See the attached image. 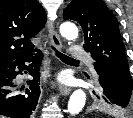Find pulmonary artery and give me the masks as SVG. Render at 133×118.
<instances>
[{"instance_id": "obj_1", "label": "pulmonary artery", "mask_w": 133, "mask_h": 118, "mask_svg": "<svg viewBox=\"0 0 133 118\" xmlns=\"http://www.w3.org/2000/svg\"><path fill=\"white\" fill-rule=\"evenodd\" d=\"M69 53L75 59H83V60H86L89 64H92L93 63L92 58L90 56H88V54L85 53L83 50H81L78 46H72L69 49Z\"/></svg>"}]
</instances>
